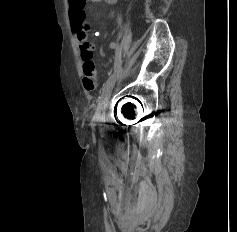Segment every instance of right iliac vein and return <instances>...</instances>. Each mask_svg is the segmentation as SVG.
<instances>
[{"mask_svg":"<svg viewBox=\"0 0 237 232\" xmlns=\"http://www.w3.org/2000/svg\"><path fill=\"white\" fill-rule=\"evenodd\" d=\"M116 78H117L116 73L111 74L110 77L108 78V81H107L103 91H102V94H101V97H100V100L98 102V106L96 109V113H95V117L98 120L103 119L105 116V111H106V108H107V105L109 102V98L111 95V91L114 87Z\"/></svg>","mask_w":237,"mask_h":232,"instance_id":"obj_1","label":"right iliac vein"}]
</instances>
